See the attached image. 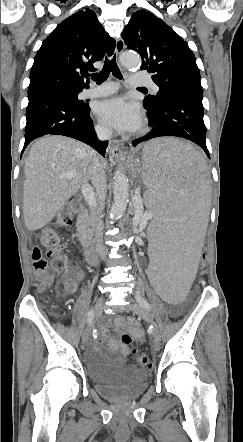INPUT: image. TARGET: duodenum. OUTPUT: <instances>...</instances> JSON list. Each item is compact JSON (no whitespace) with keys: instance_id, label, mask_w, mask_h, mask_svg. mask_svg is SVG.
I'll use <instances>...</instances> for the list:
<instances>
[{"instance_id":"410a0bca","label":"duodenum","mask_w":243,"mask_h":442,"mask_svg":"<svg viewBox=\"0 0 243 442\" xmlns=\"http://www.w3.org/2000/svg\"><path fill=\"white\" fill-rule=\"evenodd\" d=\"M75 206H76L77 212L82 211V206L79 202H76ZM85 217H86V215L82 212L81 217H80V221H83L85 219ZM84 259L89 264L97 263L98 260H97L96 251L92 247L87 246L84 250Z\"/></svg>"}]
</instances>
